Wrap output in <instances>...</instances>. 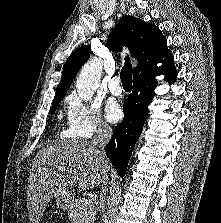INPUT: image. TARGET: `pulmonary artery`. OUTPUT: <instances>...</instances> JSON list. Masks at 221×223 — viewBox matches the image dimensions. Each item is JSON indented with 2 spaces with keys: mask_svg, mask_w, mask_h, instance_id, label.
Returning <instances> with one entry per match:
<instances>
[{
  "mask_svg": "<svg viewBox=\"0 0 221 223\" xmlns=\"http://www.w3.org/2000/svg\"><path fill=\"white\" fill-rule=\"evenodd\" d=\"M109 90L114 95H120L122 88L120 86V78L118 76L112 77L108 82Z\"/></svg>",
  "mask_w": 221,
  "mask_h": 223,
  "instance_id": "e3ab8cb5",
  "label": "pulmonary artery"
}]
</instances>
